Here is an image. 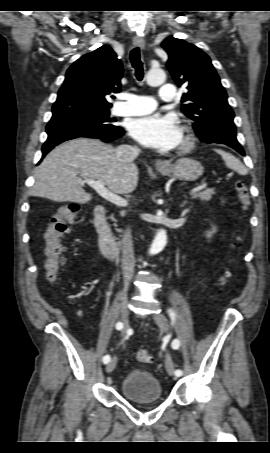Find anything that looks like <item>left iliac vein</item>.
I'll use <instances>...</instances> for the list:
<instances>
[{
	"label": "left iliac vein",
	"instance_id": "obj_1",
	"mask_svg": "<svg viewBox=\"0 0 270 453\" xmlns=\"http://www.w3.org/2000/svg\"><path fill=\"white\" fill-rule=\"evenodd\" d=\"M155 322L158 324V326L164 331L168 332L169 331V323L167 318L162 314L158 313L153 316ZM165 366L166 370L169 375L173 376L174 375V364L172 362V359L170 356H167L166 361H165Z\"/></svg>",
	"mask_w": 270,
	"mask_h": 453
}]
</instances>
